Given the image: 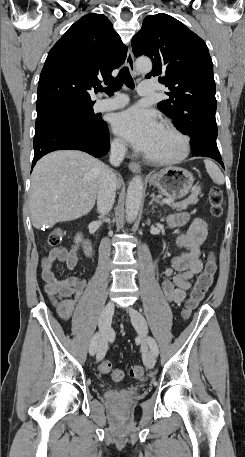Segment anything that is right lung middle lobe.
Wrapping results in <instances>:
<instances>
[{"label":"right lung middle lobe","instance_id":"dd1d6c3e","mask_svg":"<svg viewBox=\"0 0 245 457\" xmlns=\"http://www.w3.org/2000/svg\"><path fill=\"white\" fill-rule=\"evenodd\" d=\"M93 101L74 100L61 103L54 109L37 112L36 124L52 119H73L96 123L98 117L93 111Z\"/></svg>","mask_w":245,"mask_h":457}]
</instances>
